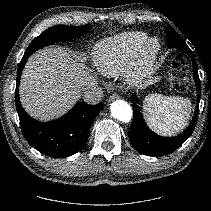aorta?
<instances>
[{
    "label": "aorta",
    "mask_w": 211,
    "mask_h": 211,
    "mask_svg": "<svg viewBox=\"0 0 211 211\" xmlns=\"http://www.w3.org/2000/svg\"><path fill=\"white\" fill-rule=\"evenodd\" d=\"M111 114L122 122H129L132 118V108L124 100H116L110 106Z\"/></svg>",
    "instance_id": "762f6f07"
}]
</instances>
